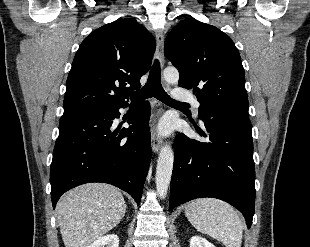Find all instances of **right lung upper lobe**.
I'll return each mask as SVG.
<instances>
[{"instance_id": "1", "label": "right lung upper lobe", "mask_w": 310, "mask_h": 247, "mask_svg": "<svg viewBox=\"0 0 310 247\" xmlns=\"http://www.w3.org/2000/svg\"><path fill=\"white\" fill-rule=\"evenodd\" d=\"M155 47L152 34L131 18L90 33L67 78L64 113L128 104L127 92L141 87L140 78L149 70Z\"/></svg>"}]
</instances>
